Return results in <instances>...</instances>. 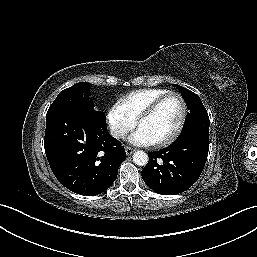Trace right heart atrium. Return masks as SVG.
Wrapping results in <instances>:
<instances>
[{
  "label": "right heart atrium",
  "instance_id": "1",
  "mask_svg": "<svg viewBox=\"0 0 257 257\" xmlns=\"http://www.w3.org/2000/svg\"><path fill=\"white\" fill-rule=\"evenodd\" d=\"M107 124L111 135L116 139L124 138L136 125L120 101L113 103L107 110Z\"/></svg>",
  "mask_w": 257,
  "mask_h": 257
}]
</instances>
